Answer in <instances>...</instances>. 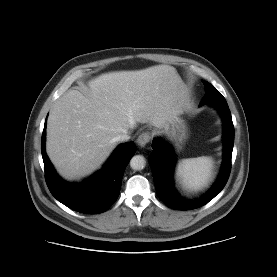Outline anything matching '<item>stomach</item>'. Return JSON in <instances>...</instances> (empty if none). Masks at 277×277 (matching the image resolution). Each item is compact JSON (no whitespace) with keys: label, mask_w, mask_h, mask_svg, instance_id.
<instances>
[{"label":"stomach","mask_w":277,"mask_h":277,"mask_svg":"<svg viewBox=\"0 0 277 277\" xmlns=\"http://www.w3.org/2000/svg\"><path fill=\"white\" fill-rule=\"evenodd\" d=\"M164 131L168 134L169 139L175 148L178 150L181 149L187 139L188 133L185 123L178 114H175L168 119Z\"/></svg>","instance_id":"stomach-1"}]
</instances>
